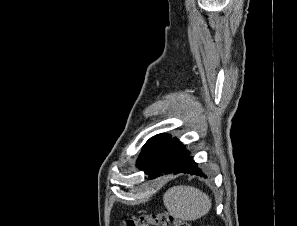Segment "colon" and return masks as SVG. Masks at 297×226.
<instances>
[{
  "instance_id": "colon-1",
  "label": "colon",
  "mask_w": 297,
  "mask_h": 226,
  "mask_svg": "<svg viewBox=\"0 0 297 226\" xmlns=\"http://www.w3.org/2000/svg\"><path fill=\"white\" fill-rule=\"evenodd\" d=\"M122 226H191L189 222L174 219L167 212L134 215L122 222Z\"/></svg>"
}]
</instances>
